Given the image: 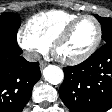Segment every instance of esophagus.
I'll list each match as a JSON object with an SVG mask.
<instances>
[{
  "label": "esophagus",
  "mask_w": 112,
  "mask_h": 112,
  "mask_svg": "<svg viewBox=\"0 0 112 112\" xmlns=\"http://www.w3.org/2000/svg\"><path fill=\"white\" fill-rule=\"evenodd\" d=\"M39 66H40V69L42 70L46 66V63L41 61Z\"/></svg>",
  "instance_id": "esophagus-1"
}]
</instances>
